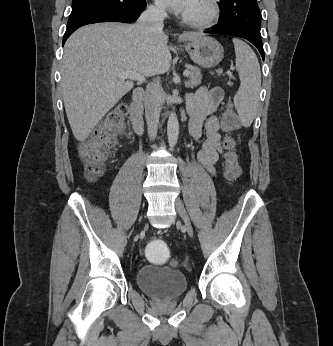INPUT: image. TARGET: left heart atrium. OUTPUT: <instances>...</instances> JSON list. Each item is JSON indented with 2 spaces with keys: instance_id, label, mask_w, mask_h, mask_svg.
Listing matches in <instances>:
<instances>
[{
  "instance_id": "obj_1",
  "label": "left heart atrium",
  "mask_w": 333,
  "mask_h": 346,
  "mask_svg": "<svg viewBox=\"0 0 333 346\" xmlns=\"http://www.w3.org/2000/svg\"><path fill=\"white\" fill-rule=\"evenodd\" d=\"M163 7L179 13L186 14L194 0H157Z\"/></svg>"
}]
</instances>
